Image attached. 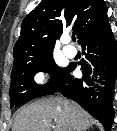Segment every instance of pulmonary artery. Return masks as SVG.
<instances>
[{
    "label": "pulmonary artery",
    "mask_w": 117,
    "mask_h": 131,
    "mask_svg": "<svg viewBox=\"0 0 117 131\" xmlns=\"http://www.w3.org/2000/svg\"><path fill=\"white\" fill-rule=\"evenodd\" d=\"M69 42V38H65L63 39V53L67 56V57H74L76 55V49L72 46H68L66 45Z\"/></svg>",
    "instance_id": "1"
}]
</instances>
